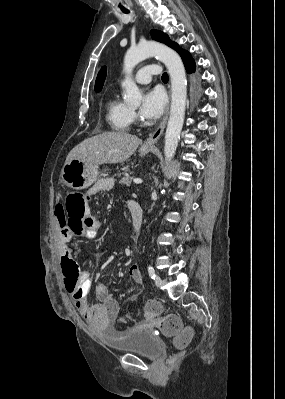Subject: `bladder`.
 I'll list each match as a JSON object with an SVG mask.
<instances>
[{
    "mask_svg": "<svg viewBox=\"0 0 285 399\" xmlns=\"http://www.w3.org/2000/svg\"><path fill=\"white\" fill-rule=\"evenodd\" d=\"M104 343L114 351L152 358L162 350L154 334L144 327H133L122 333L105 332Z\"/></svg>",
    "mask_w": 285,
    "mask_h": 399,
    "instance_id": "31cf9c89",
    "label": "bladder"
}]
</instances>
